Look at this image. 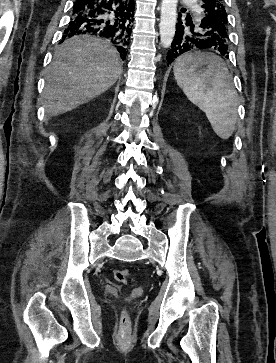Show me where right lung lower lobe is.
<instances>
[{
	"label": "right lung lower lobe",
	"mask_w": 276,
	"mask_h": 363,
	"mask_svg": "<svg viewBox=\"0 0 276 363\" xmlns=\"http://www.w3.org/2000/svg\"><path fill=\"white\" fill-rule=\"evenodd\" d=\"M133 0H76L63 40L80 34L108 39L125 59L134 20Z\"/></svg>",
	"instance_id": "right-lung-lower-lobe-1"
}]
</instances>
